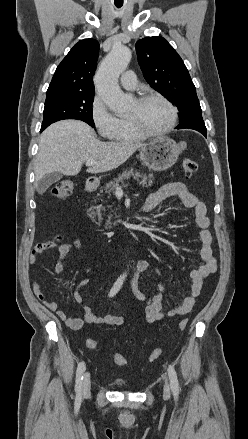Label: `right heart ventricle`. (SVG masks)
<instances>
[{
	"label": "right heart ventricle",
	"mask_w": 248,
	"mask_h": 439,
	"mask_svg": "<svg viewBox=\"0 0 248 439\" xmlns=\"http://www.w3.org/2000/svg\"><path fill=\"white\" fill-rule=\"evenodd\" d=\"M112 139L118 143H138L145 137L133 129L127 117H123L119 119V127Z\"/></svg>",
	"instance_id": "right-heart-ventricle-1"
}]
</instances>
